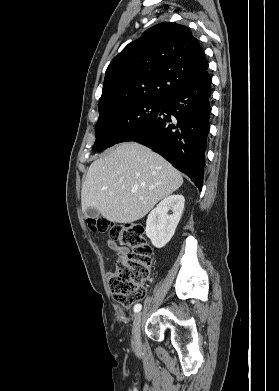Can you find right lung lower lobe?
<instances>
[{"mask_svg":"<svg viewBox=\"0 0 279 391\" xmlns=\"http://www.w3.org/2000/svg\"><path fill=\"white\" fill-rule=\"evenodd\" d=\"M211 77L206 72L163 102L152 121L120 141H136L162 155L202 189L204 152L210 129Z\"/></svg>","mask_w":279,"mask_h":391,"instance_id":"right-lung-lower-lobe-1","label":"right lung lower lobe"}]
</instances>
